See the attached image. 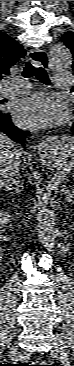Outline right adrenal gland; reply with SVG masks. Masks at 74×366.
<instances>
[{
	"label": "right adrenal gland",
	"mask_w": 74,
	"mask_h": 366,
	"mask_svg": "<svg viewBox=\"0 0 74 366\" xmlns=\"http://www.w3.org/2000/svg\"><path fill=\"white\" fill-rule=\"evenodd\" d=\"M15 178L16 179H11V182H8L5 185L6 191H12V190H14V192H12V194H18V193H20V191H21L20 188H22V185L20 184L19 177L16 176Z\"/></svg>",
	"instance_id": "obj_1"
}]
</instances>
